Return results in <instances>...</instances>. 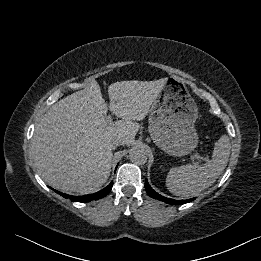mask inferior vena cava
Wrapping results in <instances>:
<instances>
[{
  "mask_svg": "<svg viewBox=\"0 0 261 261\" xmlns=\"http://www.w3.org/2000/svg\"><path fill=\"white\" fill-rule=\"evenodd\" d=\"M122 144H123V140L120 139V138H116V139H114V140L111 142V147H112L113 149H115L117 146L122 145Z\"/></svg>",
  "mask_w": 261,
  "mask_h": 261,
  "instance_id": "602c4592",
  "label": "inferior vena cava"
}]
</instances>
